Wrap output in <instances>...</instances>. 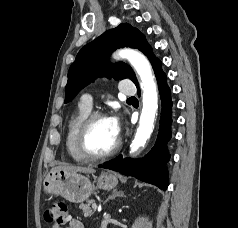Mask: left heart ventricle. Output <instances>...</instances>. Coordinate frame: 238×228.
Masks as SVG:
<instances>
[{
	"instance_id": "1",
	"label": "left heart ventricle",
	"mask_w": 238,
	"mask_h": 228,
	"mask_svg": "<svg viewBox=\"0 0 238 228\" xmlns=\"http://www.w3.org/2000/svg\"><path fill=\"white\" fill-rule=\"evenodd\" d=\"M112 131L108 118H101L94 122L87 140L90 151L96 154L105 153L110 150L117 142Z\"/></svg>"
}]
</instances>
